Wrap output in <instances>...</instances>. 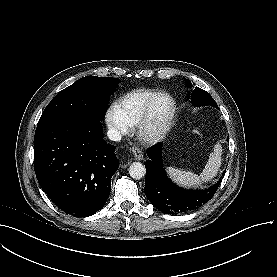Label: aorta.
<instances>
[{"label":"aorta","mask_w":277,"mask_h":277,"mask_svg":"<svg viewBox=\"0 0 277 277\" xmlns=\"http://www.w3.org/2000/svg\"><path fill=\"white\" fill-rule=\"evenodd\" d=\"M146 174L145 166L140 162H133L129 167V175L136 180L142 179Z\"/></svg>","instance_id":"762f6f07"}]
</instances>
